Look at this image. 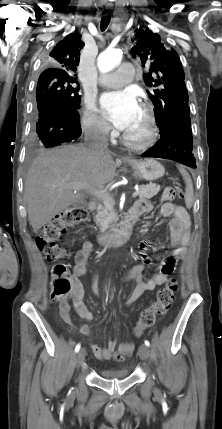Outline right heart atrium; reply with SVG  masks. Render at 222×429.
I'll return each instance as SVG.
<instances>
[{
	"label": "right heart atrium",
	"mask_w": 222,
	"mask_h": 429,
	"mask_svg": "<svg viewBox=\"0 0 222 429\" xmlns=\"http://www.w3.org/2000/svg\"><path fill=\"white\" fill-rule=\"evenodd\" d=\"M82 126L91 135L103 136L109 131V125L100 114L95 102L87 98L82 113Z\"/></svg>",
	"instance_id": "d8ad5b80"
}]
</instances>
